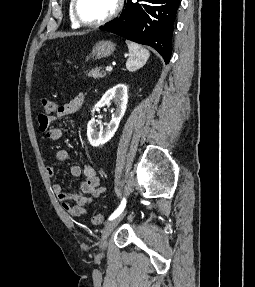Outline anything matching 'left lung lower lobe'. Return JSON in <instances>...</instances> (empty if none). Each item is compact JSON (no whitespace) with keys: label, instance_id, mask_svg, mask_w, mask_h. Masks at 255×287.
<instances>
[{"label":"left lung lower lobe","instance_id":"obj_1","mask_svg":"<svg viewBox=\"0 0 255 287\" xmlns=\"http://www.w3.org/2000/svg\"><path fill=\"white\" fill-rule=\"evenodd\" d=\"M180 0H126L120 16L100 27L156 49L168 63L172 50L174 20Z\"/></svg>","mask_w":255,"mask_h":287}]
</instances>
